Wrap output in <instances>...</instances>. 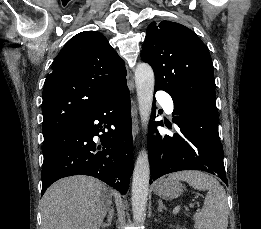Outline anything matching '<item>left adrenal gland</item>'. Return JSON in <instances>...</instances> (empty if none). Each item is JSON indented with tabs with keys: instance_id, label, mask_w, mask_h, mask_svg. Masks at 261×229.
<instances>
[{
	"instance_id": "obj_1",
	"label": "left adrenal gland",
	"mask_w": 261,
	"mask_h": 229,
	"mask_svg": "<svg viewBox=\"0 0 261 229\" xmlns=\"http://www.w3.org/2000/svg\"><path fill=\"white\" fill-rule=\"evenodd\" d=\"M158 203H159L158 211H160V213H161V211H163V209H164V211H167V209H166L165 205H163L162 201H158Z\"/></svg>"
}]
</instances>
